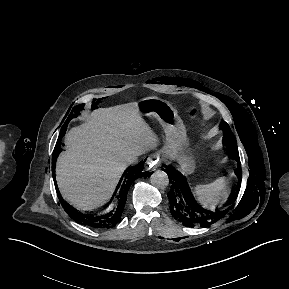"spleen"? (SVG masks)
Listing matches in <instances>:
<instances>
[{
    "label": "spleen",
    "mask_w": 289,
    "mask_h": 289,
    "mask_svg": "<svg viewBox=\"0 0 289 289\" xmlns=\"http://www.w3.org/2000/svg\"><path fill=\"white\" fill-rule=\"evenodd\" d=\"M227 179L220 177L209 184L194 187V194L198 202L205 208L214 209L227 197Z\"/></svg>",
    "instance_id": "obj_1"
}]
</instances>
